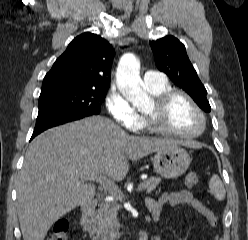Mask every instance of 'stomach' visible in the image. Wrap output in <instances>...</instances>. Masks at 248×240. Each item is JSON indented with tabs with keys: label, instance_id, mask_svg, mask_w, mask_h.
I'll return each mask as SVG.
<instances>
[{
	"label": "stomach",
	"instance_id": "0dacf381",
	"mask_svg": "<svg viewBox=\"0 0 248 240\" xmlns=\"http://www.w3.org/2000/svg\"><path fill=\"white\" fill-rule=\"evenodd\" d=\"M190 163V155L179 145L158 150L153 157L155 171L167 179L181 176L188 169Z\"/></svg>",
	"mask_w": 248,
	"mask_h": 240
}]
</instances>
